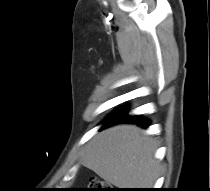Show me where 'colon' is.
<instances>
[{"instance_id":"obj_1","label":"colon","mask_w":210,"mask_h":191,"mask_svg":"<svg viewBox=\"0 0 210 191\" xmlns=\"http://www.w3.org/2000/svg\"><path fill=\"white\" fill-rule=\"evenodd\" d=\"M87 191H111V188H109L102 180L94 178L90 180Z\"/></svg>"}]
</instances>
